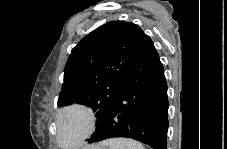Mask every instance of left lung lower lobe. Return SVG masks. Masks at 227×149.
<instances>
[{
  "label": "left lung lower lobe",
  "instance_id": "obj_1",
  "mask_svg": "<svg viewBox=\"0 0 227 149\" xmlns=\"http://www.w3.org/2000/svg\"><path fill=\"white\" fill-rule=\"evenodd\" d=\"M168 98L164 68L152 40L143 35L123 86L89 143L127 137L166 149Z\"/></svg>",
  "mask_w": 227,
  "mask_h": 149
}]
</instances>
